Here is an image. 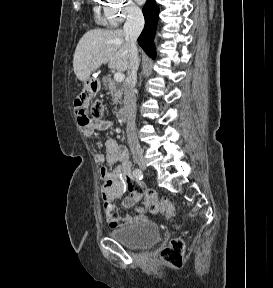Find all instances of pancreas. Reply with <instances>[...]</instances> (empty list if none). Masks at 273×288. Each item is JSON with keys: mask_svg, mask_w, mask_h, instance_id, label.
<instances>
[{"mask_svg": "<svg viewBox=\"0 0 273 288\" xmlns=\"http://www.w3.org/2000/svg\"><path fill=\"white\" fill-rule=\"evenodd\" d=\"M105 89L108 91V94L112 97V102L114 105L121 103L123 89L118 82H115L111 75L104 76L102 79Z\"/></svg>", "mask_w": 273, "mask_h": 288, "instance_id": "pancreas-1", "label": "pancreas"}]
</instances>
